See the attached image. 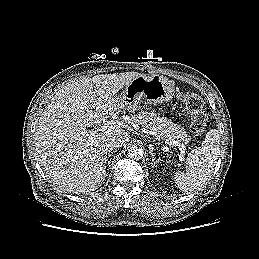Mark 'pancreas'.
<instances>
[{
  "instance_id": "cf45deb5",
  "label": "pancreas",
  "mask_w": 259,
  "mask_h": 259,
  "mask_svg": "<svg viewBox=\"0 0 259 259\" xmlns=\"http://www.w3.org/2000/svg\"><path fill=\"white\" fill-rule=\"evenodd\" d=\"M131 121L150 129L157 139H180L185 143L191 140L183 127L174 124L166 117L157 116L154 112H138L131 116Z\"/></svg>"
}]
</instances>
